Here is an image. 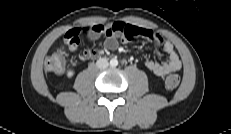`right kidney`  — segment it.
<instances>
[{
	"mask_svg": "<svg viewBox=\"0 0 231 134\" xmlns=\"http://www.w3.org/2000/svg\"><path fill=\"white\" fill-rule=\"evenodd\" d=\"M73 74H74V72H73V71H68V72H67V76H68V77H72V76H73Z\"/></svg>",
	"mask_w": 231,
	"mask_h": 134,
	"instance_id": "right-kidney-1",
	"label": "right kidney"
}]
</instances>
